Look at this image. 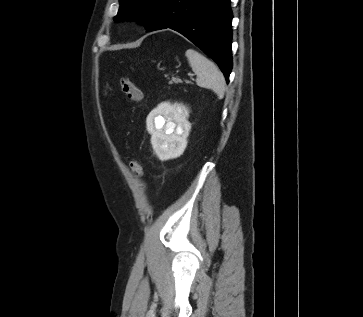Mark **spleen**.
<instances>
[{
	"label": "spleen",
	"mask_w": 363,
	"mask_h": 317,
	"mask_svg": "<svg viewBox=\"0 0 363 317\" xmlns=\"http://www.w3.org/2000/svg\"><path fill=\"white\" fill-rule=\"evenodd\" d=\"M185 55L190 67L197 75V85L212 89L220 98H222L225 93V78L218 67L212 61L193 49H188Z\"/></svg>",
	"instance_id": "1"
}]
</instances>
